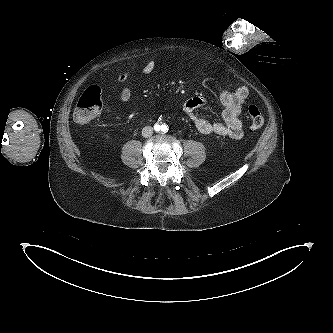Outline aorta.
<instances>
[{"label":"aorta","mask_w":333,"mask_h":333,"mask_svg":"<svg viewBox=\"0 0 333 333\" xmlns=\"http://www.w3.org/2000/svg\"><path fill=\"white\" fill-rule=\"evenodd\" d=\"M156 130L159 131V132H166L167 130V127L166 125H161V126H156Z\"/></svg>","instance_id":"1"}]
</instances>
